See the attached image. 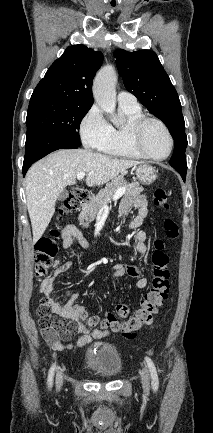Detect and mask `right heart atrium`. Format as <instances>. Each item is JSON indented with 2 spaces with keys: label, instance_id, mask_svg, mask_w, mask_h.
<instances>
[{
  "label": "right heart atrium",
  "instance_id": "right-heart-atrium-1",
  "mask_svg": "<svg viewBox=\"0 0 213 433\" xmlns=\"http://www.w3.org/2000/svg\"><path fill=\"white\" fill-rule=\"evenodd\" d=\"M109 129L110 124L96 105L86 112L79 126L82 142L90 149H100L109 134Z\"/></svg>",
  "mask_w": 213,
  "mask_h": 433
}]
</instances>
